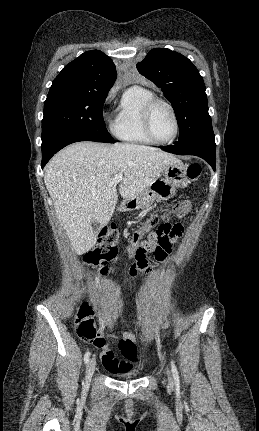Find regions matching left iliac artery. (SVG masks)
I'll use <instances>...</instances> for the list:
<instances>
[{
	"label": "left iliac artery",
	"mask_w": 259,
	"mask_h": 431,
	"mask_svg": "<svg viewBox=\"0 0 259 431\" xmlns=\"http://www.w3.org/2000/svg\"><path fill=\"white\" fill-rule=\"evenodd\" d=\"M171 370L176 383H179V374L173 361H171Z\"/></svg>",
	"instance_id": "obj_1"
}]
</instances>
